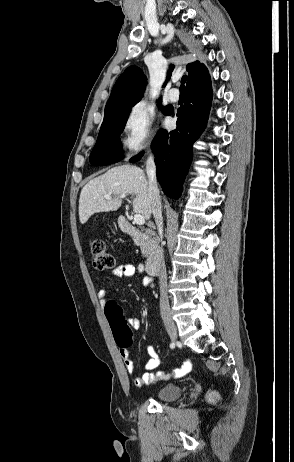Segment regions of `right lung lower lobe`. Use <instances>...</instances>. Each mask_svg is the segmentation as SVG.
Returning a JSON list of instances; mask_svg holds the SVG:
<instances>
[{"instance_id":"98d812e1","label":"right lung lower lobe","mask_w":294,"mask_h":462,"mask_svg":"<svg viewBox=\"0 0 294 462\" xmlns=\"http://www.w3.org/2000/svg\"><path fill=\"white\" fill-rule=\"evenodd\" d=\"M212 101L209 73L187 86L184 106L178 109L177 128L160 130L152 143L157 166V178L164 193L179 198L182 183L192 159V145L205 129ZM143 153L130 159L138 161Z\"/></svg>"}]
</instances>
